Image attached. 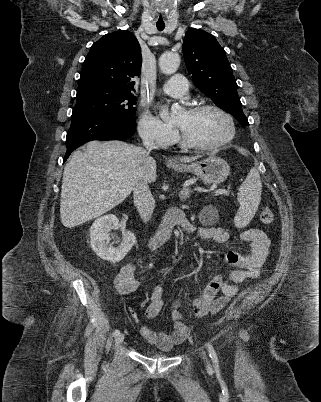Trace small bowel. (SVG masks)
<instances>
[{"mask_svg":"<svg viewBox=\"0 0 321 402\" xmlns=\"http://www.w3.org/2000/svg\"><path fill=\"white\" fill-rule=\"evenodd\" d=\"M184 229L187 233L195 234L202 240H211L218 244L226 243L229 238L228 231L221 227H197L186 222ZM240 239L250 246L251 253L242 255L236 251L227 250L217 255L208 264L209 281L202 296L191 302L194 312L197 304L206 299L212 300L207 313L216 314L220 312L237 294L240 284L260 275L269 251L268 237L262 230L250 228L241 232ZM219 262H223L232 268L227 279H224L216 271ZM134 271L133 265H126L120 270L115 280L116 289L120 294L127 295L138 289L139 282L134 276ZM163 293L164 289L161 285H155L152 288L150 302L146 309L148 318L153 319L161 312L164 306ZM219 293L222 295L218 297ZM179 305L180 301L176 300L170 309V317L173 320V331L170 334L156 332L146 325L140 327V334L148 343L169 350L173 345L181 343L189 336L191 329L184 323V316L178 309ZM196 315L201 316L203 314Z\"/></svg>","mask_w":321,"mask_h":402,"instance_id":"1","label":"small bowel"}]
</instances>
